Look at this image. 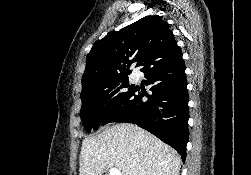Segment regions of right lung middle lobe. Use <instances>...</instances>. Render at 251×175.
Instances as JSON below:
<instances>
[{"label":"right lung middle lobe","mask_w":251,"mask_h":175,"mask_svg":"<svg viewBox=\"0 0 251 175\" xmlns=\"http://www.w3.org/2000/svg\"><path fill=\"white\" fill-rule=\"evenodd\" d=\"M133 89L128 85V76L105 85L82 88L80 116L86 131L97 129L106 115Z\"/></svg>","instance_id":"right-lung-middle-lobe-1"}]
</instances>
